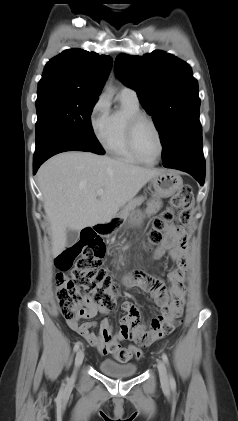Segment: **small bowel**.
I'll use <instances>...</instances> for the list:
<instances>
[{"instance_id": "c3829d8e", "label": "small bowel", "mask_w": 238, "mask_h": 421, "mask_svg": "<svg viewBox=\"0 0 238 421\" xmlns=\"http://www.w3.org/2000/svg\"><path fill=\"white\" fill-rule=\"evenodd\" d=\"M156 202L150 203L148 215H153L159 209ZM168 255L175 267L167 274V283L159 277L134 271L126 278L130 287H138L147 292L159 307L161 314L152 320L148 330L141 324V312L132 301H124L122 309L126 315L121 321L120 329L112 333L108 320L104 319L99 325L94 321L81 322V319H91L97 314H106L110 309L93 301H87L84 314L76 320H67L68 326L81 335L90 346L96 348L102 355L114 354L123 340L133 341L141 346L149 345L150 337L156 333L160 326L176 312H180L186 296V274L188 268L187 237L177 227L169 226L166 229V238L154 253L159 259ZM98 327V331L93 329Z\"/></svg>"}]
</instances>
